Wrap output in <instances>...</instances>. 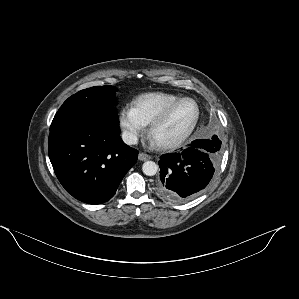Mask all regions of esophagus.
Here are the masks:
<instances>
[{
    "label": "esophagus",
    "instance_id": "esophagus-1",
    "mask_svg": "<svg viewBox=\"0 0 299 299\" xmlns=\"http://www.w3.org/2000/svg\"><path fill=\"white\" fill-rule=\"evenodd\" d=\"M138 159L141 160V161H146V160L151 159V156L146 154V153L140 152L138 154Z\"/></svg>",
    "mask_w": 299,
    "mask_h": 299
}]
</instances>
